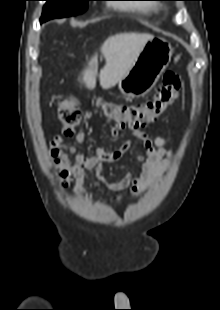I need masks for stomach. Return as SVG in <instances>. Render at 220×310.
<instances>
[{"mask_svg": "<svg viewBox=\"0 0 220 310\" xmlns=\"http://www.w3.org/2000/svg\"><path fill=\"white\" fill-rule=\"evenodd\" d=\"M171 56V44L162 37H153L144 45L133 66L118 81L120 92L129 98L146 95L169 65Z\"/></svg>", "mask_w": 220, "mask_h": 310, "instance_id": "obj_1", "label": "stomach"}]
</instances>
